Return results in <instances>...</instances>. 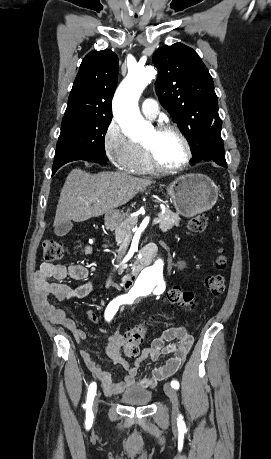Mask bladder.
Returning a JSON list of instances; mask_svg holds the SVG:
<instances>
[{
    "label": "bladder",
    "instance_id": "1",
    "mask_svg": "<svg viewBox=\"0 0 271 459\" xmlns=\"http://www.w3.org/2000/svg\"><path fill=\"white\" fill-rule=\"evenodd\" d=\"M122 400L127 405H146L152 398V393L147 390L133 389L122 394Z\"/></svg>",
    "mask_w": 271,
    "mask_h": 459
}]
</instances>
